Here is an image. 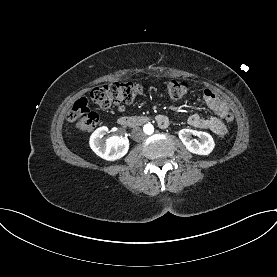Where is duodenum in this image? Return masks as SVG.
<instances>
[{
    "label": "duodenum",
    "instance_id": "1",
    "mask_svg": "<svg viewBox=\"0 0 277 277\" xmlns=\"http://www.w3.org/2000/svg\"><path fill=\"white\" fill-rule=\"evenodd\" d=\"M149 121L146 116H123L118 119V124L122 127L135 128Z\"/></svg>",
    "mask_w": 277,
    "mask_h": 277
}]
</instances>
